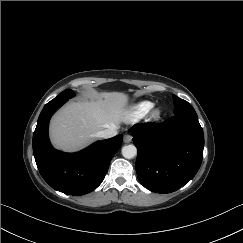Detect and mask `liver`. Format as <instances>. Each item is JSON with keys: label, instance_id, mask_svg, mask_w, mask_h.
Returning a JSON list of instances; mask_svg holds the SVG:
<instances>
[{"label": "liver", "instance_id": "liver-1", "mask_svg": "<svg viewBox=\"0 0 243 243\" xmlns=\"http://www.w3.org/2000/svg\"><path fill=\"white\" fill-rule=\"evenodd\" d=\"M127 104L128 96L121 92L92 93L89 100L69 102L51 119L52 144L67 152L82 149L98 132L118 128L128 114Z\"/></svg>", "mask_w": 243, "mask_h": 243}]
</instances>
